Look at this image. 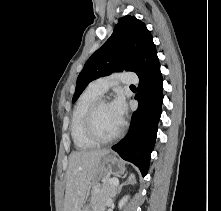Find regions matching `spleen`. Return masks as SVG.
Wrapping results in <instances>:
<instances>
[{
  "mask_svg": "<svg viewBox=\"0 0 221 211\" xmlns=\"http://www.w3.org/2000/svg\"><path fill=\"white\" fill-rule=\"evenodd\" d=\"M129 180H130L131 182H134V180H135V175H134V174H131V175L129 176Z\"/></svg>",
  "mask_w": 221,
  "mask_h": 211,
  "instance_id": "3e777b00",
  "label": "spleen"
}]
</instances>
